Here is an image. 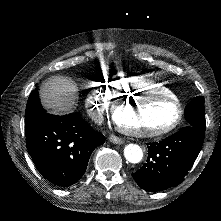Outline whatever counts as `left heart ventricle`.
<instances>
[{"mask_svg": "<svg viewBox=\"0 0 221 221\" xmlns=\"http://www.w3.org/2000/svg\"><path fill=\"white\" fill-rule=\"evenodd\" d=\"M176 111L171 104L160 100H148L140 105H127L117 108L113 117L117 123L127 125L133 129H160Z\"/></svg>", "mask_w": 221, "mask_h": 221, "instance_id": "left-heart-ventricle-1", "label": "left heart ventricle"}]
</instances>
